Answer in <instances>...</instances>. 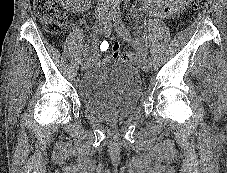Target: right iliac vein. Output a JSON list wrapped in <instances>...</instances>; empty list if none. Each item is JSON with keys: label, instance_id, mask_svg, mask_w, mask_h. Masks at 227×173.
Segmentation results:
<instances>
[{"label": "right iliac vein", "instance_id": "63e3f726", "mask_svg": "<svg viewBox=\"0 0 227 173\" xmlns=\"http://www.w3.org/2000/svg\"><path fill=\"white\" fill-rule=\"evenodd\" d=\"M111 14L107 13L106 11H99L97 13V19L99 24H104L105 21L110 18ZM88 67V62L87 61H82L81 62V71H85Z\"/></svg>", "mask_w": 227, "mask_h": 173}]
</instances>
